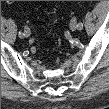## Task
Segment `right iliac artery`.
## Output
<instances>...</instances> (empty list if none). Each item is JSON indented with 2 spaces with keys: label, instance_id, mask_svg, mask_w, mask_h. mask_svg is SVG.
<instances>
[{
  "label": "right iliac artery",
  "instance_id": "obj_1",
  "mask_svg": "<svg viewBox=\"0 0 109 109\" xmlns=\"http://www.w3.org/2000/svg\"><path fill=\"white\" fill-rule=\"evenodd\" d=\"M25 28H26V27H25ZM18 35H19L20 38H23V37L25 36L24 33L21 32V31H19V34H18Z\"/></svg>",
  "mask_w": 109,
  "mask_h": 109
}]
</instances>
